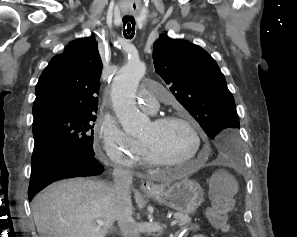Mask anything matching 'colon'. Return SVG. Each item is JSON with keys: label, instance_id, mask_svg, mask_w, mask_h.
<instances>
[{"label": "colon", "instance_id": "5ec220e1", "mask_svg": "<svg viewBox=\"0 0 297 237\" xmlns=\"http://www.w3.org/2000/svg\"><path fill=\"white\" fill-rule=\"evenodd\" d=\"M234 193L235 184L226 173H218L212 178L211 195L213 205L208 211V218L216 230L222 232L230 230L227 212L233 206Z\"/></svg>", "mask_w": 297, "mask_h": 237}]
</instances>
